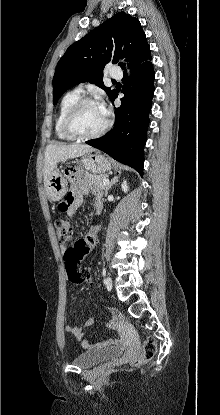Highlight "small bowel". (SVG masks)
I'll return each instance as SVG.
<instances>
[{
	"label": "small bowel",
	"instance_id": "small-bowel-1",
	"mask_svg": "<svg viewBox=\"0 0 220 415\" xmlns=\"http://www.w3.org/2000/svg\"><path fill=\"white\" fill-rule=\"evenodd\" d=\"M88 191H89L88 186H86L85 184L81 182H77L75 184V188L67 194L66 202H65L66 206L63 209L64 211L67 212L69 216L73 217L76 215V212L78 208L82 205L84 196L88 193ZM93 194H94V201H93L94 214L99 215L102 211L101 193L98 190H93ZM99 232H100V227L95 225L89 230L87 235L84 238H82L89 245L90 249H92L96 245ZM61 251L62 253H64L66 251V248L64 246H61ZM93 323H94V319L89 318L86 320L85 325L90 326ZM66 330L69 333H71L81 343L82 347L85 349H103V348H107V347L117 344L115 340H106L102 342H96L93 344L90 340H88L85 337L83 328L80 326L67 325Z\"/></svg>",
	"mask_w": 220,
	"mask_h": 415
}]
</instances>
